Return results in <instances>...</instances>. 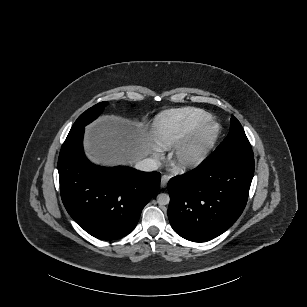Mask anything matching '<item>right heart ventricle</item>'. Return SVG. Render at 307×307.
<instances>
[{"mask_svg": "<svg viewBox=\"0 0 307 307\" xmlns=\"http://www.w3.org/2000/svg\"><path fill=\"white\" fill-rule=\"evenodd\" d=\"M213 120V116L201 109L180 108L166 110L157 115L154 129L160 148L178 145L203 129Z\"/></svg>", "mask_w": 307, "mask_h": 307, "instance_id": "e07e8e85", "label": "right heart ventricle"}]
</instances>
